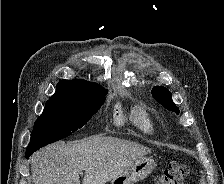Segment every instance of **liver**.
<instances>
[{
  "label": "liver",
  "instance_id": "6515ba94",
  "mask_svg": "<svg viewBox=\"0 0 224 184\" xmlns=\"http://www.w3.org/2000/svg\"><path fill=\"white\" fill-rule=\"evenodd\" d=\"M151 150L114 137L93 136L79 142H56L31 158L34 184H106Z\"/></svg>",
  "mask_w": 224,
  "mask_h": 184
}]
</instances>
